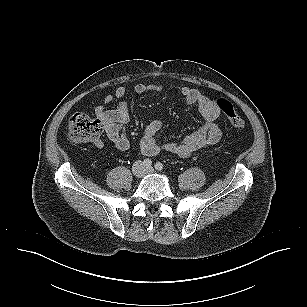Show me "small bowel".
<instances>
[{"instance_id": "c3829d8e", "label": "small bowel", "mask_w": 307, "mask_h": 307, "mask_svg": "<svg viewBox=\"0 0 307 307\" xmlns=\"http://www.w3.org/2000/svg\"><path fill=\"white\" fill-rule=\"evenodd\" d=\"M161 90L162 86L159 84L140 83L134 87V92L137 94L157 93ZM126 93V88L119 86L115 89L113 95H107L104 98V103L110 104L114 98L121 99ZM179 93L186 105L194 106L199 110L203 118L202 125L179 141L160 144L156 139V135L163 128V124L158 120L150 122L146 126L139 142V149L143 155L155 156L162 150H166L184 158L196 151L213 147L221 140L222 132L217 122L220 110L216 105V101L201 91L186 85L179 88ZM95 115L103 126L104 134L114 143L115 148L120 152L127 151L130 148V140L125 133V126L130 120L128 104L120 101L114 109H106L100 105L96 107ZM93 145L96 148H102L104 143L99 139L93 142Z\"/></svg>"}]
</instances>
